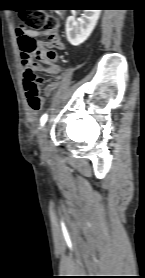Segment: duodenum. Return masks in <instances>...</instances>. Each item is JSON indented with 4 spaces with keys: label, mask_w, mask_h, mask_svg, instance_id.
I'll return each mask as SVG.
<instances>
[{
    "label": "duodenum",
    "mask_w": 145,
    "mask_h": 278,
    "mask_svg": "<svg viewBox=\"0 0 145 278\" xmlns=\"http://www.w3.org/2000/svg\"><path fill=\"white\" fill-rule=\"evenodd\" d=\"M53 91H54V90H48V91H46V92H45V96H47V97L51 96L52 93H53Z\"/></svg>",
    "instance_id": "duodenum-1"
}]
</instances>
